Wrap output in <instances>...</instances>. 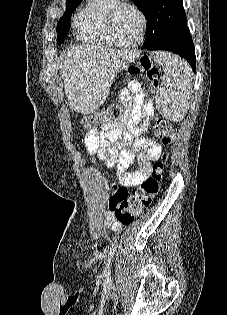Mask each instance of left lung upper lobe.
I'll use <instances>...</instances> for the list:
<instances>
[{"instance_id": "left-lung-upper-lobe-1", "label": "left lung upper lobe", "mask_w": 227, "mask_h": 315, "mask_svg": "<svg viewBox=\"0 0 227 315\" xmlns=\"http://www.w3.org/2000/svg\"><path fill=\"white\" fill-rule=\"evenodd\" d=\"M143 12L148 24L145 44L153 43L186 25L183 0H132Z\"/></svg>"}]
</instances>
